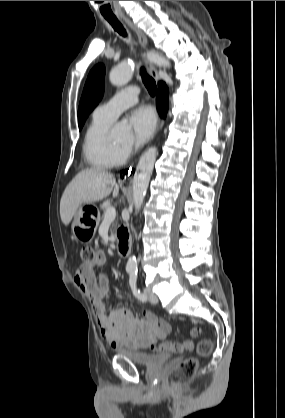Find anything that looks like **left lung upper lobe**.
I'll return each mask as SVG.
<instances>
[{
  "mask_svg": "<svg viewBox=\"0 0 285 418\" xmlns=\"http://www.w3.org/2000/svg\"><path fill=\"white\" fill-rule=\"evenodd\" d=\"M105 67L97 64L89 73L78 108L79 129L102 99L104 92Z\"/></svg>",
  "mask_w": 285,
  "mask_h": 418,
  "instance_id": "obj_1",
  "label": "left lung upper lobe"
}]
</instances>
